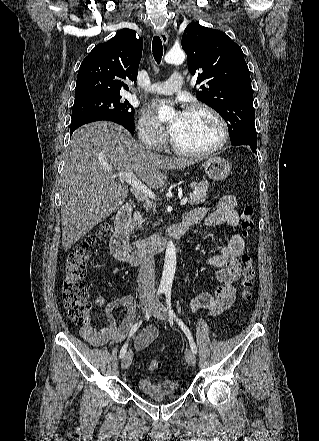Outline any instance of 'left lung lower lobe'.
Segmentation results:
<instances>
[{
    "instance_id": "0a47b994",
    "label": "left lung lower lobe",
    "mask_w": 319,
    "mask_h": 441,
    "mask_svg": "<svg viewBox=\"0 0 319 441\" xmlns=\"http://www.w3.org/2000/svg\"><path fill=\"white\" fill-rule=\"evenodd\" d=\"M232 145H234V144H232ZM246 145H249V146L251 147V150H252L254 153H256V147H257V145H254V144H251V143L246 144Z\"/></svg>"
}]
</instances>
